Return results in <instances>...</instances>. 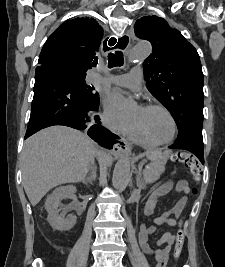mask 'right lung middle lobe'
I'll list each match as a JSON object with an SVG mask.
<instances>
[{"instance_id":"obj_1","label":"right lung middle lobe","mask_w":225,"mask_h":267,"mask_svg":"<svg viewBox=\"0 0 225 267\" xmlns=\"http://www.w3.org/2000/svg\"><path fill=\"white\" fill-rule=\"evenodd\" d=\"M71 76L84 98L94 107V110H97L99 106V95L95 91V88L85 83V76L78 74H71Z\"/></svg>"}]
</instances>
